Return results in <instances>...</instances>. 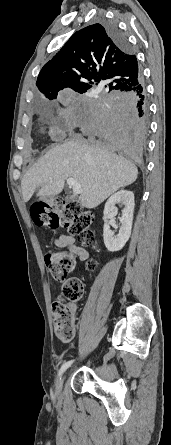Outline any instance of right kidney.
Instances as JSON below:
<instances>
[{
    "instance_id": "obj_1",
    "label": "right kidney",
    "mask_w": 171,
    "mask_h": 445,
    "mask_svg": "<svg viewBox=\"0 0 171 445\" xmlns=\"http://www.w3.org/2000/svg\"><path fill=\"white\" fill-rule=\"evenodd\" d=\"M124 205L122 216L120 217V229L118 235L110 230L107 219L113 218L117 214L116 204ZM134 194L128 190H120L113 194L106 202L104 208V228L103 238L106 248L110 252L121 250L129 240L132 229L134 212Z\"/></svg>"
}]
</instances>
